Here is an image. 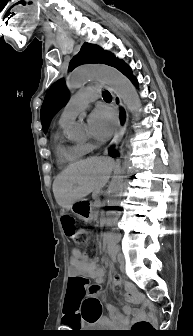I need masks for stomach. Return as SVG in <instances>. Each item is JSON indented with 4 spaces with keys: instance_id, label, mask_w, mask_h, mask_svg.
<instances>
[{
    "instance_id": "0dacf381",
    "label": "stomach",
    "mask_w": 193,
    "mask_h": 336,
    "mask_svg": "<svg viewBox=\"0 0 193 336\" xmlns=\"http://www.w3.org/2000/svg\"><path fill=\"white\" fill-rule=\"evenodd\" d=\"M71 211L85 222H90L92 220V206L86 199L74 202L71 206Z\"/></svg>"
}]
</instances>
